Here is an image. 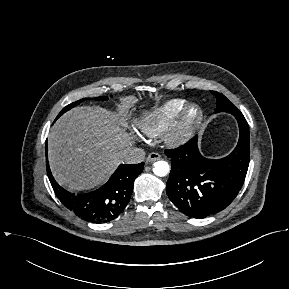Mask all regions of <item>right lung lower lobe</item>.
Masks as SVG:
<instances>
[{
    "instance_id": "98d812e1",
    "label": "right lung lower lobe",
    "mask_w": 289,
    "mask_h": 289,
    "mask_svg": "<svg viewBox=\"0 0 289 289\" xmlns=\"http://www.w3.org/2000/svg\"><path fill=\"white\" fill-rule=\"evenodd\" d=\"M47 173L53 190L61 203L80 218L96 223L113 220L126 207L133 192V182L142 172L140 164L120 165L108 182L95 191L75 194L62 188L49 168L46 146Z\"/></svg>"
}]
</instances>
